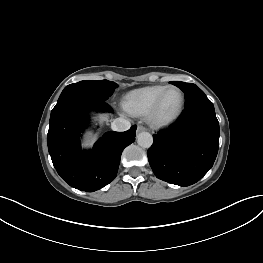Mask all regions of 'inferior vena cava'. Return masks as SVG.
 Wrapping results in <instances>:
<instances>
[{"label":"inferior vena cava","mask_w":263,"mask_h":263,"mask_svg":"<svg viewBox=\"0 0 263 263\" xmlns=\"http://www.w3.org/2000/svg\"><path fill=\"white\" fill-rule=\"evenodd\" d=\"M130 127H131L130 122L124 118H116L111 123V129L113 131L123 132L130 129Z\"/></svg>","instance_id":"inferior-vena-cava-1"}]
</instances>
